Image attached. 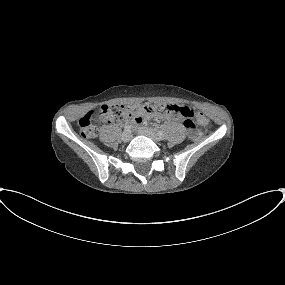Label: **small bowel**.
Wrapping results in <instances>:
<instances>
[{
	"mask_svg": "<svg viewBox=\"0 0 285 285\" xmlns=\"http://www.w3.org/2000/svg\"><path fill=\"white\" fill-rule=\"evenodd\" d=\"M173 106L174 107L175 106L181 107V106L176 105V104L164 105L163 110L158 112V113H155L153 116L156 117L157 119H160V120L168 119V120H175V121L184 123L187 116L181 110L173 111L171 109V107H173ZM144 121H145V119H143V118H136V119L132 120V123L142 124V123H144Z\"/></svg>",
	"mask_w": 285,
	"mask_h": 285,
	"instance_id": "obj_1",
	"label": "small bowel"
}]
</instances>
